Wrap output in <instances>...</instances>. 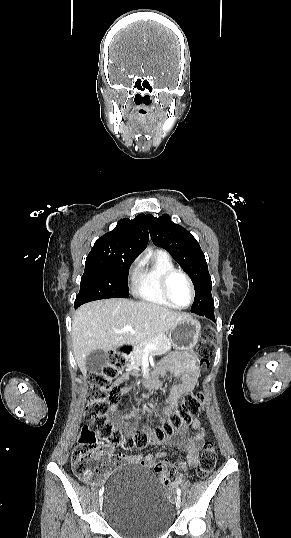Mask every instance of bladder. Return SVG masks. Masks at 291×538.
<instances>
[{
  "instance_id": "31cf9c89",
  "label": "bladder",
  "mask_w": 291,
  "mask_h": 538,
  "mask_svg": "<svg viewBox=\"0 0 291 538\" xmlns=\"http://www.w3.org/2000/svg\"><path fill=\"white\" fill-rule=\"evenodd\" d=\"M101 506L107 524L129 538H155L175 520L161 484L152 472L136 464L113 471Z\"/></svg>"
}]
</instances>
